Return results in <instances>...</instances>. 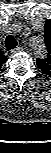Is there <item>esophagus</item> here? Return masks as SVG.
I'll list each match as a JSON object with an SVG mask.
<instances>
[{"mask_svg":"<svg viewBox=\"0 0 51 153\" xmlns=\"http://www.w3.org/2000/svg\"><path fill=\"white\" fill-rule=\"evenodd\" d=\"M20 51H22V47H16L15 49L12 50V53H16Z\"/></svg>","mask_w":51,"mask_h":153,"instance_id":"1","label":"esophagus"}]
</instances>
